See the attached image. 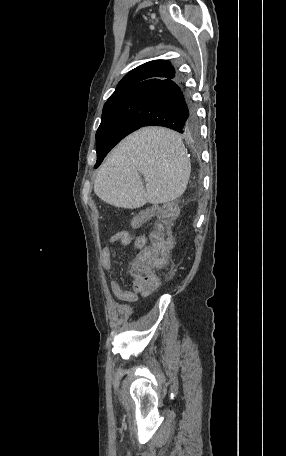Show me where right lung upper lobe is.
<instances>
[{
	"label": "right lung upper lobe",
	"instance_id": "1",
	"mask_svg": "<svg viewBox=\"0 0 286 456\" xmlns=\"http://www.w3.org/2000/svg\"><path fill=\"white\" fill-rule=\"evenodd\" d=\"M174 77L175 69L167 60L144 63L124 76L106 103L124 98L129 93L152 83L170 80Z\"/></svg>",
	"mask_w": 286,
	"mask_h": 456
}]
</instances>
